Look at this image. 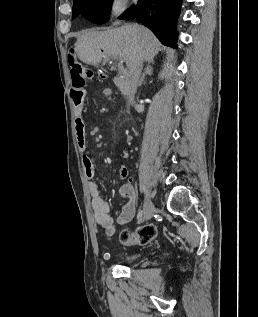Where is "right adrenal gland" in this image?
Returning <instances> with one entry per match:
<instances>
[{
  "mask_svg": "<svg viewBox=\"0 0 258 317\" xmlns=\"http://www.w3.org/2000/svg\"><path fill=\"white\" fill-rule=\"evenodd\" d=\"M152 64H154L153 60H148V64L138 82V86H141V84H145L144 82V78L146 76V74H153V68H152Z\"/></svg>",
  "mask_w": 258,
  "mask_h": 317,
  "instance_id": "2a0ac1e0",
  "label": "right adrenal gland"
}]
</instances>
